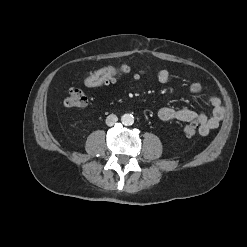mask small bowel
Segmentation results:
<instances>
[{
    "label": "small bowel",
    "mask_w": 247,
    "mask_h": 247,
    "mask_svg": "<svg viewBox=\"0 0 247 247\" xmlns=\"http://www.w3.org/2000/svg\"><path fill=\"white\" fill-rule=\"evenodd\" d=\"M156 79L161 84H167L170 81V74L167 70H160L156 74ZM190 91L193 94H199L202 91V87L199 83L193 82L190 84ZM207 101L211 107V114L209 116L189 108L171 107L160 108L157 112V116L162 121L178 120L181 122L194 123L198 127L199 134L206 136L219 126L225 114V109L219 97L210 95Z\"/></svg>",
    "instance_id": "obj_1"
}]
</instances>
